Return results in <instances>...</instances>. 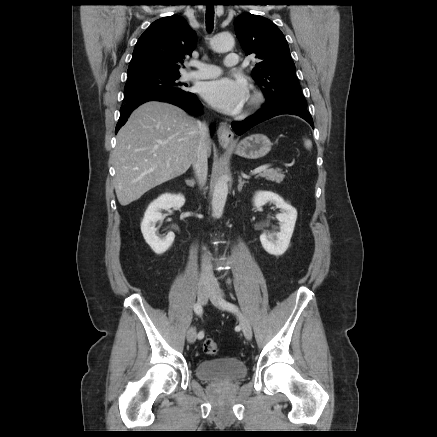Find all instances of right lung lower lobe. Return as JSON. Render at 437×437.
Returning <instances> with one entry per match:
<instances>
[{
  "label": "right lung lower lobe",
  "instance_id": "1",
  "mask_svg": "<svg viewBox=\"0 0 437 437\" xmlns=\"http://www.w3.org/2000/svg\"><path fill=\"white\" fill-rule=\"evenodd\" d=\"M147 101H162V102H168L171 104H174L182 109H184L186 112L194 115H198L202 111V104L197 99V97L193 93H161V94H154V95H148L141 97L136 100H132L129 102H126L120 109V118L116 125L115 133L118 132V130L126 123L127 118L131 114V112L141 105L144 102ZM215 130V126H211V132L213 133Z\"/></svg>",
  "mask_w": 437,
  "mask_h": 437
}]
</instances>
